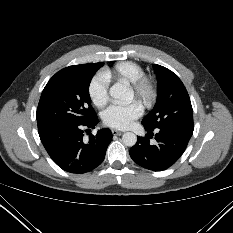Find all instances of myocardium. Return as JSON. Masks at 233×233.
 Wrapping results in <instances>:
<instances>
[{
  "instance_id": "f54148a6",
  "label": "myocardium",
  "mask_w": 233,
  "mask_h": 233,
  "mask_svg": "<svg viewBox=\"0 0 233 233\" xmlns=\"http://www.w3.org/2000/svg\"><path fill=\"white\" fill-rule=\"evenodd\" d=\"M134 95L145 106H151L157 99V86L153 79L143 75L131 84Z\"/></svg>"
}]
</instances>
